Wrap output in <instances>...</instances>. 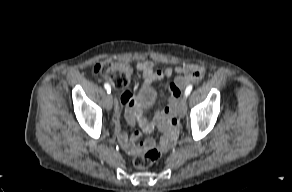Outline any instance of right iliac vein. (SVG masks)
I'll return each instance as SVG.
<instances>
[{
    "instance_id": "63e3f726",
    "label": "right iliac vein",
    "mask_w": 292,
    "mask_h": 192,
    "mask_svg": "<svg viewBox=\"0 0 292 192\" xmlns=\"http://www.w3.org/2000/svg\"><path fill=\"white\" fill-rule=\"evenodd\" d=\"M112 105H113V96H112L111 94H108V95L106 96V99H105V106H106V109H107V110H111Z\"/></svg>"
}]
</instances>
